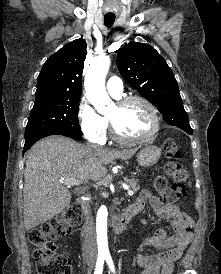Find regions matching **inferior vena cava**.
Listing matches in <instances>:
<instances>
[{
    "instance_id": "1",
    "label": "inferior vena cava",
    "mask_w": 221,
    "mask_h": 274,
    "mask_svg": "<svg viewBox=\"0 0 221 274\" xmlns=\"http://www.w3.org/2000/svg\"><path fill=\"white\" fill-rule=\"evenodd\" d=\"M84 250L86 258L89 260H95L97 256V243H96V233L95 226L92 216H88L84 227Z\"/></svg>"
}]
</instances>
